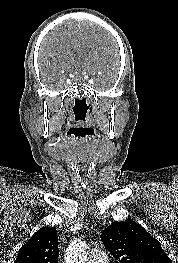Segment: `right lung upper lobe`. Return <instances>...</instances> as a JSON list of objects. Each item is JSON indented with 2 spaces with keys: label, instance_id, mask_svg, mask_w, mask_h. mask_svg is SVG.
Segmentation results:
<instances>
[{
  "label": "right lung upper lobe",
  "instance_id": "cb5924a9",
  "mask_svg": "<svg viewBox=\"0 0 178 263\" xmlns=\"http://www.w3.org/2000/svg\"><path fill=\"white\" fill-rule=\"evenodd\" d=\"M14 263H58V239L55 227L40 228L18 253Z\"/></svg>",
  "mask_w": 178,
  "mask_h": 263
}]
</instances>
